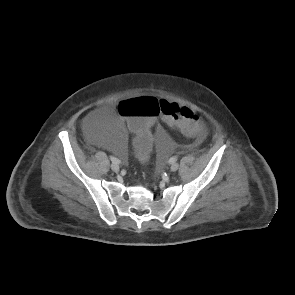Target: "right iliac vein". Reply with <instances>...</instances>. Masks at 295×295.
<instances>
[{
  "instance_id": "63e3f726",
  "label": "right iliac vein",
  "mask_w": 295,
  "mask_h": 295,
  "mask_svg": "<svg viewBox=\"0 0 295 295\" xmlns=\"http://www.w3.org/2000/svg\"><path fill=\"white\" fill-rule=\"evenodd\" d=\"M111 169L114 171V172H119V165L117 163H112L111 164Z\"/></svg>"
}]
</instances>
